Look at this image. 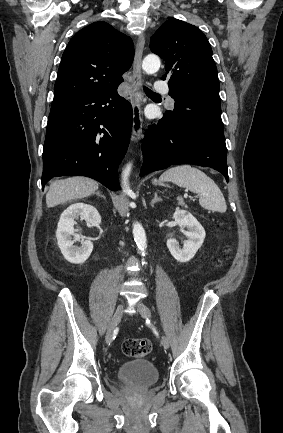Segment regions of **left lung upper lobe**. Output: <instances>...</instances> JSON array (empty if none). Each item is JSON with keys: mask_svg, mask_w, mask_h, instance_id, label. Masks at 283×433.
I'll list each match as a JSON object with an SVG mask.
<instances>
[{"mask_svg": "<svg viewBox=\"0 0 283 433\" xmlns=\"http://www.w3.org/2000/svg\"><path fill=\"white\" fill-rule=\"evenodd\" d=\"M150 49L165 60L173 118H198L223 130L217 68L206 36L194 25L169 19L151 37Z\"/></svg>", "mask_w": 283, "mask_h": 433, "instance_id": "left-lung-upper-lobe-1", "label": "left lung upper lobe"}]
</instances>
